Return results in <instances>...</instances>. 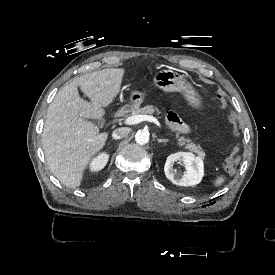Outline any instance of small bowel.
Here are the masks:
<instances>
[{"label":"small bowel","mask_w":275,"mask_h":275,"mask_svg":"<svg viewBox=\"0 0 275 275\" xmlns=\"http://www.w3.org/2000/svg\"><path fill=\"white\" fill-rule=\"evenodd\" d=\"M145 74H148L147 70H144ZM167 122L169 129L171 131H176L180 133H186L188 132V126L187 124L183 121V119L175 112H170L167 115Z\"/></svg>","instance_id":"1"}]
</instances>
